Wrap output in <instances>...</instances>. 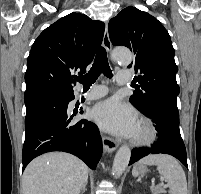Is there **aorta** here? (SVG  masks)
<instances>
[{
  "mask_svg": "<svg viewBox=\"0 0 201 194\" xmlns=\"http://www.w3.org/2000/svg\"><path fill=\"white\" fill-rule=\"evenodd\" d=\"M112 58L120 64L129 65L132 62L133 56L129 49L118 47L112 51ZM130 157L131 151L129 147L122 146L118 149L112 167V174L115 178L120 177L125 171L130 161Z\"/></svg>",
  "mask_w": 201,
  "mask_h": 194,
  "instance_id": "1",
  "label": "aorta"
}]
</instances>
